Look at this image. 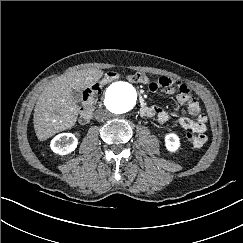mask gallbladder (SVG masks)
I'll return each mask as SVG.
<instances>
[{"label":"gallbladder","mask_w":243,"mask_h":243,"mask_svg":"<svg viewBox=\"0 0 243 243\" xmlns=\"http://www.w3.org/2000/svg\"><path fill=\"white\" fill-rule=\"evenodd\" d=\"M73 97L76 103H80L82 101V92L80 90H74Z\"/></svg>","instance_id":"gallbladder-1"}]
</instances>
